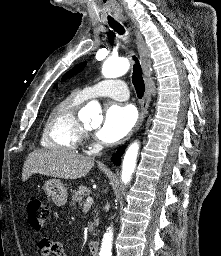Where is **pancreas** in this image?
I'll return each mask as SVG.
<instances>
[{"instance_id":"pancreas-1","label":"pancreas","mask_w":221,"mask_h":256,"mask_svg":"<svg viewBox=\"0 0 221 256\" xmlns=\"http://www.w3.org/2000/svg\"><path fill=\"white\" fill-rule=\"evenodd\" d=\"M90 192L91 191L85 186H80L77 191L76 190L72 191L71 205L75 206L76 203H78V205L81 206V204L84 201V198L89 196ZM93 224L97 225L98 224V219L95 218ZM94 235H95V233H94Z\"/></svg>"}]
</instances>
